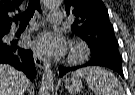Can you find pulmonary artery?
<instances>
[{
    "mask_svg": "<svg viewBox=\"0 0 135 95\" xmlns=\"http://www.w3.org/2000/svg\"><path fill=\"white\" fill-rule=\"evenodd\" d=\"M49 21L50 23H53V24H59L61 23L62 21V13L59 11V10H52L50 11L49 13ZM37 25H33L30 27V30H34V29H37ZM16 31V29L14 28L12 30V33H14Z\"/></svg>",
    "mask_w": 135,
    "mask_h": 95,
    "instance_id": "e3ab8cb5",
    "label": "pulmonary artery"
}]
</instances>
